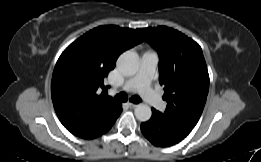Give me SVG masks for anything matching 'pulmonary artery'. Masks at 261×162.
Segmentation results:
<instances>
[{"label": "pulmonary artery", "mask_w": 261, "mask_h": 162, "mask_svg": "<svg viewBox=\"0 0 261 162\" xmlns=\"http://www.w3.org/2000/svg\"><path fill=\"white\" fill-rule=\"evenodd\" d=\"M158 62L159 55L156 51H145L141 56L137 73L125 81L122 89L125 91H138L155 109L163 111L166 103L151 87V81L154 78Z\"/></svg>", "instance_id": "1"}]
</instances>
